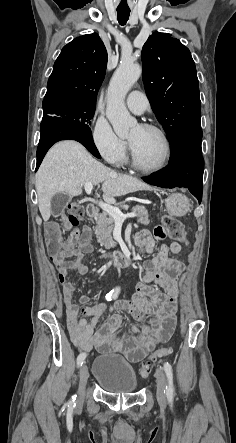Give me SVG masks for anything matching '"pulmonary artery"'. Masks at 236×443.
<instances>
[{
    "instance_id": "obj_1",
    "label": "pulmonary artery",
    "mask_w": 236,
    "mask_h": 443,
    "mask_svg": "<svg viewBox=\"0 0 236 443\" xmlns=\"http://www.w3.org/2000/svg\"><path fill=\"white\" fill-rule=\"evenodd\" d=\"M126 103L128 108L136 114H142L149 107L147 97L140 91L130 92Z\"/></svg>"
}]
</instances>
